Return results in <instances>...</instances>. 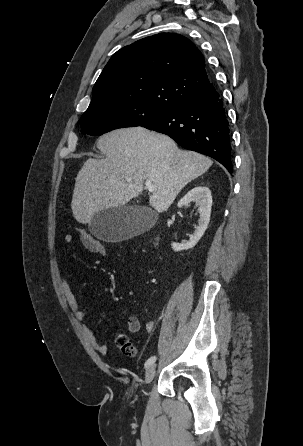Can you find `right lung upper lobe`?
Here are the masks:
<instances>
[{"mask_svg": "<svg viewBox=\"0 0 303 446\" xmlns=\"http://www.w3.org/2000/svg\"><path fill=\"white\" fill-rule=\"evenodd\" d=\"M212 88L195 44L179 34L160 33L111 57L93 87L88 109L126 102L173 107Z\"/></svg>", "mask_w": 303, "mask_h": 446, "instance_id": "cb5924a9", "label": "right lung upper lobe"}]
</instances>
